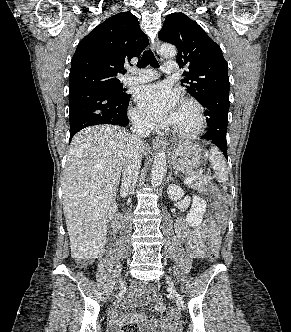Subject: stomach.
I'll return each instance as SVG.
<instances>
[{
    "mask_svg": "<svg viewBox=\"0 0 291 332\" xmlns=\"http://www.w3.org/2000/svg\"><path fill=\"white\" fill-rule=\"evenodd\" d=\"M204 159L201 148L191 141H180L170 147V163L176 170L198 168Z\"/></svg>",
    "mask_w": 291,
    "mask_h": 332,
    "instance_id": "stomach-1",
    "label": "stomach"
}]
</instances>
